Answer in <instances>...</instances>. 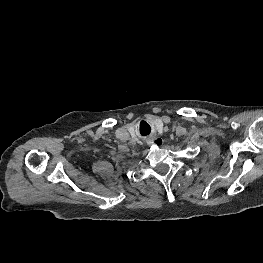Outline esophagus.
Masks as SVG:
<instances>
[{
	"label": "esophagus",
	"mask_w": 263,
	"mask_h": 263,
	"mask_svg": "<svg viewBox=\"0 0 263 263\" xmlns=\"http://www.w3.org/2000/svg\"><path fill=\"white\" fill-rule=\"evenodd\" d=\"M163 144V139L162 138H154L149 142V145H157V146H161Z\"/></svg>",
	"instance_id": "esophagus-1"
}]
</instances>
